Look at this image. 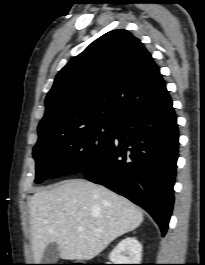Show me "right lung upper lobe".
Returning a JSON list of instances; mask_svg holds the SVG:
<instances>
[{
  "instance_id": "cb5924a9",
  "label": "right lung upper lobe",
  "mask_w": 205,
  "mask_h": 265,
  "mask_svg": "<svg viewBox=\"0 0 205 265\" xmlns=\"http://www.w3.org/2000/svg\"><path fill=\"white\" fill-rule=\"evenodd\" d=\"M165 86L141 41L123 29L110 31L58 73L38 131L58 133L92 122L117 123L153 103Z\"/></svg>"
}]
</instances>
